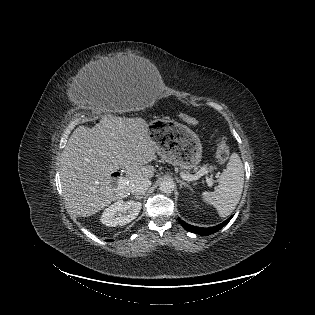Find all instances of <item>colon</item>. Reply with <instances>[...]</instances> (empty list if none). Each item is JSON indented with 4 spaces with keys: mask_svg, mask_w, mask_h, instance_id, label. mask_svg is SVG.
I'll list each match as a JSON object with an SVG mask.
<instances>
[{
    "mask_svg": "<svg viewBox=\"0 0 315 315\" xmlns=\"http://www.w3.org/2000/svg\"><path fill=\"white\" fill-rule=\"evenodd\" d=\"M180 117L184 122L190 125L199 124L198 120L191 115L181 114ZM229 156H230L229 146L227 145V143L225 142L223 138H218L216 141V154H215L216 161L219 164L225 163L229 159Z\"/></svg>",
    "mask_w": 315,
    "mask_h": 315,
    "instance_id": "5ec220e1",
    "label": "colon"
}]
</instances>
